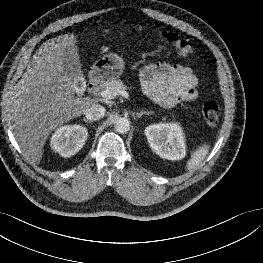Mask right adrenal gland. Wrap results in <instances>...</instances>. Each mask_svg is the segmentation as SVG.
<instances>
[{
  "mask_svg": "<svg viewBox=\"0 0 263 263\" xmlns=\"http://www.w3.org/2000/svg\"><path fill=\"white\" fill-rule=\"evenodd\" d=\"M84 120V122H86V123H89V124H92V121H88L87 119H83Z\"/></svg>",
  "mask_w": 263,
  "mask_h": 263,
  "instance_id": "2a0ac1e0",
  "label": "right adrenal gland"
}]
</instances>
